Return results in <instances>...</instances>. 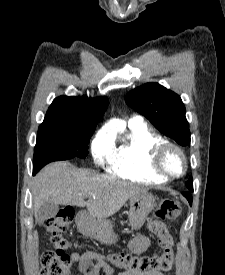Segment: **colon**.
<instances>
[{
    "label": "colon",
    "instance_id": "obj_1",
    "mask_svg": "<svg viewBox=\"0 0 225 275\" xmlns=\"http://www.w3.org/2000/svg\"><path fill=\"white\" fill-rule=\"evenodd\" d=\"M181 214V204L177 200H163L156 218L148 223L149 231L156 236L160 255L138 257L128 253H116L107 256L110 263L126 271L165 272L171 269L174 262L173 238L169 233L165 220H176ZM75 212L72 208L63 209L58 215L49 219L47 230L55 249L46 250L41 256V275H73V265L65 253L69 246L62 233L69 227Z\"/></svg>",
    "mask_w": 225,
    "mask_h": 275
}]
</instances>
